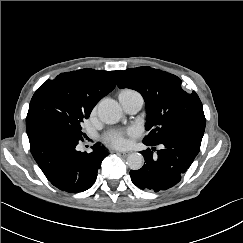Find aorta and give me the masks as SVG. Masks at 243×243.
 Segmentation results:
<instances>
[{
	"instance_id": "obj_1",
	"label": "aorta",
	"mask_w": 243,
	"mask_h": 243,
	"mask_svg": "<svg viewBox=\"0 0 243 243\" xmlns=\"http://www.w3.org/2000/svg\"><path fill=\"white\" fill-rule=\"evenodd\" d=\"M99 119L106 124H115L119 122L122 117V109L120 105L112 100H102L97 108ZM144 164V158L140 153L134 152L128 155L127 165L131 170H139Z\"/></svg>"
}]
</instances>
